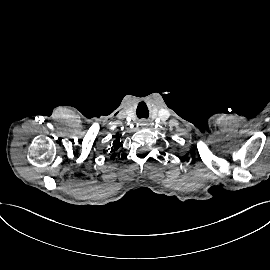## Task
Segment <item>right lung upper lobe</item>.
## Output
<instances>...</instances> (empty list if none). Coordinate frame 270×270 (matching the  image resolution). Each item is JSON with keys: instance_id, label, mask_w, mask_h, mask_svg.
<instances>
[{"instance_id": "cb5924a9", "label": "right lung upper lobe", "mask_w": 270, "mask_h": 270, "mask_svg": "<svg viewBox=\"0 0 270 270\" xmlns=\"http://www.w3.org/2000/svg\"><path fill=\"white\" fill-rule=\"evenodd\" d=\"M121 146H122V143L120 142V137L117 136L116 140L113 141L112 148L110 150V153H112L111 159H113V160L115 159V156H116L115 151Z\"/></svg>"}]
</instances>
